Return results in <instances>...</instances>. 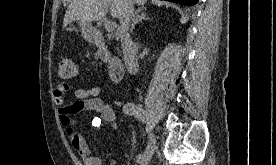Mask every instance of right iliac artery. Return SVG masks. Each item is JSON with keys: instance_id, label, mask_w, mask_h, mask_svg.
I'll return each mask as SVG.
<instances>
[{"instance_id": "obj_1", "label": "right iliac artery", "mask_w": 276, "mask_h": 165, "mask_svg": "<svg viewBox=\"0 0 276 165\" xmlns=\"http://www.w3.org/2000/svg\"><path fill=\"white\" fill-rule=\"evenodd\" d=\"M123 111H124L126 114L134 115V117H136L137 119H139V120H141V121H144V116L142 115V109H141L139 106H137V105H135V104H133V103H127V104L124 106ZM141 158H142V155L139 154V155L137 156L136 161H137V162H140Z\"/></svg>"}]
</instances>
